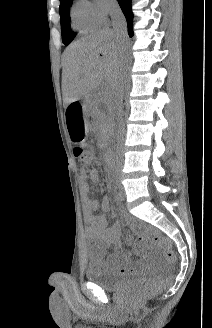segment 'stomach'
<instances>
[{"label": "stomach", "instance_id": "0dacf381", "mask_svg": "<svg viewBox=\"0 0 212 328\" xmlns=\"http://www.w3.org/2000/svg\"><path fill=\"white\" fill-rule=\"evenodd\" d=\"M64 115L67 119L65 122L67 135H70L74 146H81L86 134L83 102H68Z\"/></svg>", "mask_w": 212, "mask_h": 328}]
</instances>
